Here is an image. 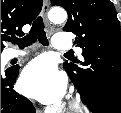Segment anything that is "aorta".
<instances>
[{
	"mask_svg": "<svg viewBox=\"0 0 121 113\" xmlns=\"http://www.w3.org/2000/svg\"><path fill=\"white\" fill-rule=\"evenodd\" d=\"M48 17L53 23H62L67 19V13L62 8H52L48 13Z\"/></svg>",
	"mask_w": 121,
	"mask_h": 113,
	"instance_id": "762f6f07",
	"label": "aorta"
}]
</instances>
